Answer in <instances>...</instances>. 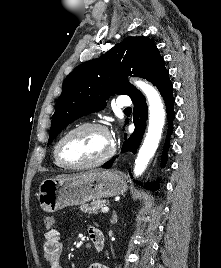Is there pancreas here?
Listing matches in <instances>:
<instances>
[{"label": "pancreas", "mask_w": 221, "mask_h": 268, "mask_svg": "<svg viewBox=\"0 0 221 268\" xmlns=\"http://www.w3.org/2000/svg\"><path fill=\"white\" fill-rule=\"evenodd\" d=\"M104 204H106V200H97L91 204H82L80 206V210L88 214H95L97 213V210Z\"/></svg>", "instance_id": "pancreas-1"}]
</instances>
